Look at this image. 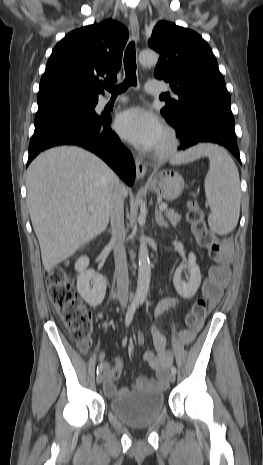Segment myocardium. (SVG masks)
I'll return each instance as SVG.
<instances>
[{
    "instance_id": "1",
    "label": "myocardium",
    "mask_w": 263,
    "mask_h": 465,
    "mask_svg": "<svg viewBox=\"0 0 263 465\" xmlns=\"http://www.w3.org/2000/svg\"><path fill=\"white\" fill-rule=\"evenodd\" d=\"M178 138L171 128H166L163 134V144L154 151L157 160H166L172 157L178 149Z\"/></svg>"
}]
</instances>
